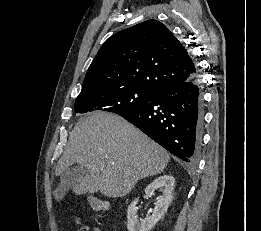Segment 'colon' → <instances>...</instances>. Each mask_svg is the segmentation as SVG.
I'll return each mask as SVG.
<instances>
[{
	"label": "colon",
	"mask_w": 261,
	"mask_h": 231,
	"mask_svg": "<svg viewBox=\"0 0 261 231\" xmlns=\"http://www.w3.org/2000/svg\"><path fill=\"white\" fill-rule=\"evenodd\" d=\"M88 204L92 209L97 211L108 212L110 210V205L105 201L89 198Z\"/></svg>",
	"instance_id": "colon-1"
}]
</instances>
